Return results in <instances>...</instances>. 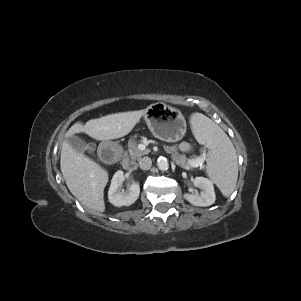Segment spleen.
I'll return each mask as SVG.
<instances>
[{"mask_svg": "<svg viewBox=\"0 0 301 301\" xmlns=\"http://www.w3.org/2000/svg\"><path fill=\"white\" fill-rule=\"evenodd\" d=\"M197 140L208 148L207 174L225 197L234 191L238 178L235 148L226 133L211 119L194 113L190 119Z\"/></svg>", "mask_w": 301, "mask_h": 301, "instance_id": "spleen-1", "label": "spleen"}]
</instances>
